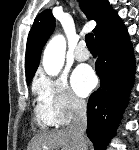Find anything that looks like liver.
<instances>
[{
  "label": "liver",
  "mask_w": 139,
  "mask_h": 150,
  "mask_svg": "<svg viewBox=\"0 0 139 150\" xmlns=\"http://www.w3.org/2000/svg\"><path fill=\"white\" fill-rule=\"evenodd\" d=\"M57 148H61V150H76L74 137L68 129L34 136L27 150H57Z\"/></svg>",
  "instance_id": "1"
}]
</instances>
